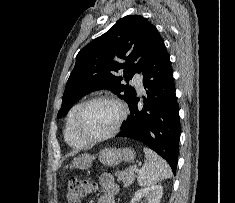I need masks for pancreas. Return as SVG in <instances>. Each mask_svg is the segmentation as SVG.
<instances>
[{
  "mask_svg": "<svg viewBox=\"0 0 235 203\" xmlns=\"http://www.w3.org/2000/svg\"><path fill=\"white\" fill-rule=\"evenodd\" d=\"M116 176L119 180H122L125 186H129L135 180L136 171L133 170V167H130L126 170L116 172Z\"/></svg>",
  "mask_w": 235,
  "mask_h": 203,
  "instance_id": "pancreas-1",
  "label": "pancreas"
}]
</instances>
